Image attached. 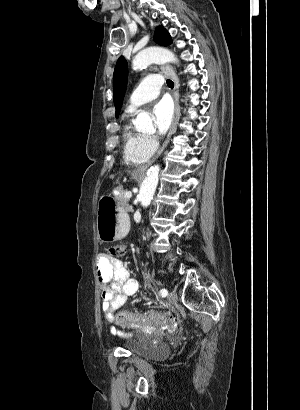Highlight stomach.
<instances>
[{
    "mask_svg": "<svg viewBox=\"0 0 300 410\" xmlns=\"http://www.w3.org/2000/svg\"><path fill=\"white\" fill-rule=\"evenodd\" d=\"M135 178H137L135 176ZM129 217L115 199L110 196L100 198L97 208V232L103 242H113L123 238L128 231Z\"/></svg>",
    "mask_w": 300,
    "mask_h": 410,
    "instance_id": "1",
    "label": "stomach"
}]
</instances>
